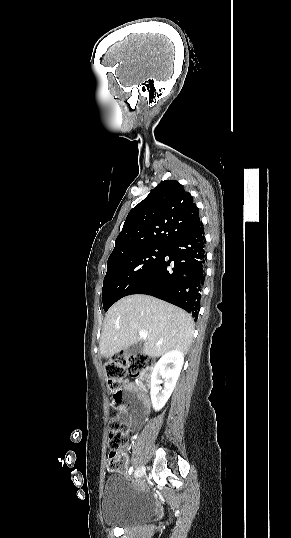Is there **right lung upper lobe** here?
I'll return each instance as SVG.
<instances>
[{
    "label": "right lung upper lobe",
    "instance_id": "cb5924a9",
    "mask_svg": "<svg viewBox=\"0 0 291 538\" xmlns=\"http://www.w3.org/2000/svg\"><path fill=\"white\" fill-rule=\"evenodd\" d=\"M200 223L191 194L178 181H162L128 213L109 258L146 246H168Z\"/></svg>",
    "mask_w": 291,
    "mask_h": 538
}]
</instances>
